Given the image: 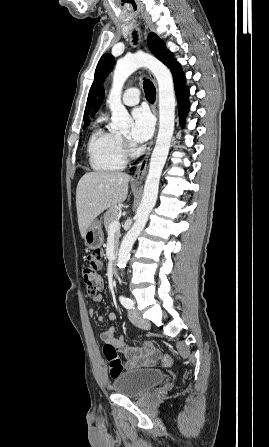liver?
<instances>
[{
	"label": "liver",
	"instance_id": "liver-1",
	"mask_svg": "<svg viewBox=\"0 0 269 447\" xmlns=\"http://www.w3.org/2000/svg\"><path fill=\"white\" fill-rule=\"evenodd\" d=\"M129 180L130 176L123 172H87L82 176L76 190L78 225L82 237L99 214L126 200Z\"/></svg>",
	"mask_w": 269,
	"mask_h": 447
}]
</instances>
